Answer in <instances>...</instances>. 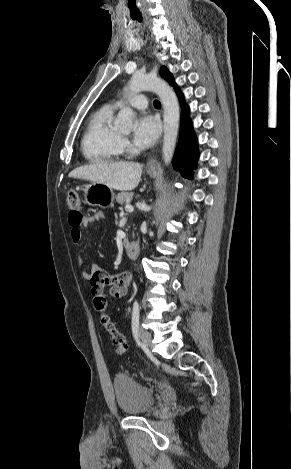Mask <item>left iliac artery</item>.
Instances as JSON below:
<instances>
[{
    "label": "left iliac artery",
    "mask_w": 291,
    "mask_h": 469,
    "mask_svg": "<svg viewBox=\"0 0 291 469\" xmlns=\"http://www.w3.org/2000/svg\"><path fill=\"white\" fill-rule=\"evenodd\" d=\"M139 319H140V306L137 300H135L133 303V310H132V332L138 345H141L140 341L138 340Z\"/></svg>",
    "instance_id": "left-iliac-artery-1"
}]
</instances>
